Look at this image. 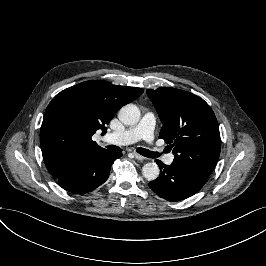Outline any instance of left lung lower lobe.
Wrapping results in <instances>:
<instances>
[{
    "label": "left lung lower lobe",
    "instance_id": "left-lung-lower-lobe-1",
    "mask_svg": "<svg viewBox=\"0 0 266 266\" xmlns=\"http://www.w3.org/2000/svg\"><path fill=\"white\" fill-rule=\"evenodd\" d=\"M160 176L149 187L168 201H181L197 193L207 182L208 174L192 166L173 162L165 165L156 160Z\"/></svg>",
    "mask_w": 266,
    "mask_h": 266
}]
</instances>
